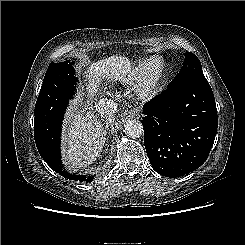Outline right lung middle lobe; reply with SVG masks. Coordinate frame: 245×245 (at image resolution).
I'll return each instance as SVG.
<instances>
[{
	"mask_svg": "<svg viewBox=\"0 0 245 245\" xmlns=\"http://www.w3.org/2000/svg\"><path fill=\"white\" fill-rule=\"evenodd\" d=\"M73 65L70 60L49 65L35 105V118L51 120L63 116L78 81Z\"/></svg>",
	"mask_w": 245,
	"mask_h": 245,
	"instance_id": "1",
	"label": "right lung middle lobe"
}]
</instances>
